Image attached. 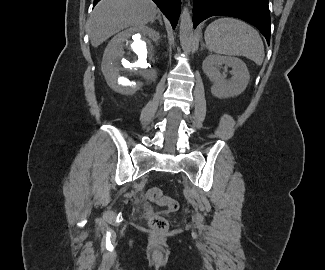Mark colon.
<instances>
[{
  "mask_svg": "<svg viewBox=\"0 0 325 270\" xmlns=\"http://www.w3.org/2000/svg\"><path fill=\"white\" fill-rule=\"evenodd\" d=\"M146 196L149 200L164 207L168 212H176L179 208L177 200L169 197L157 187L149 188ZM149 226L155 231L163 232L168 228V220L163 216L154 215L149 220Z\"/></svg>",
  "mask_w": 325,
  "mask_h": 270,
  "instance_id": "obj_1",
  "label": "colon"
}]
</instances>
